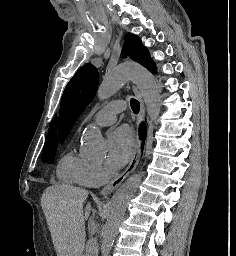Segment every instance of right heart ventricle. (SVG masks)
I'll use <instances>...</instances> for the list:
<instances>
[{
    "label": "right heart ventricle",
    "instance_id": "e07e8e85",
    "mask_svg": "<svg viewBox=\"0 0 236 256\" xmlns=\"http://www.w3.org/2000/svg\"><path fill=\"white\" fill-rule=\"evenodd\" d=\"M88 162L67 154L61 158L57 166V177L64 183L79 184V173Z\"/></svg>",
    "mask_w": 236,
    "mask_h": 256
}]
</instances>
